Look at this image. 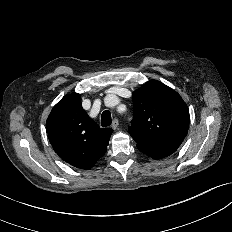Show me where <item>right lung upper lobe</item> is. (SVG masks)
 Returning <instances> with one entry per match:
<instances>
[{"mask_svg":"<svg viewBox=\"0 0 232 232\" xmlns=\"http://www.w3.org/2000/svg\"><path fill=\"white\" fill-rule=\"evenodd\" d=\"M48 139L54 151L70 165L90 169L107 149L110 128H100L82 108L80 94L66 95L52 109L46 121Z\"/></svg>","mask_w":232,"mask_h":232,"instance_id":"right-lung-upper-lobe-1","label":"right lung upper lobe"}]
</instances>
